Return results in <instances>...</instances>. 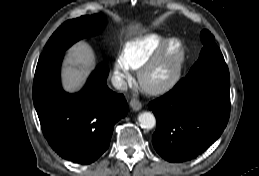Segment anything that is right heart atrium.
<instances>
[{
	"label": "right heart atrium",
	"instance_id": "d8ad5b80",
	"mask_svg": "<svg viewBox=\"0 0 259 176\" xmlns=\"http://www.w3.org/2000/svg\"><path fill=\"white\" fill-rule=\"evenodd\" d=\"M113 77L119 87H122L130 79L129 68L124 63L121 55L117 56L113 62Z\"/></svg>",
	"mask_w": 259,
	"mask_h": 176
}]
</instances>
